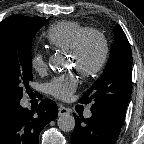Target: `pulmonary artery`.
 Masks as SVG:
<instances>
[{
	"instance_id": "e3ab8cb5",
	"label": "pulmonary artery",
	"mask_w": 144,
	"mask_h": 144,
	"mask_svg": "<svg viewBox=\"0 0 144 144\" xmlns=\"http://www.w3.org/2000/svg\"><path fill=\"white\" fill-rule=\"evenodd\" d=\"M92 116V112L91 111H87L86 113H85V117L86 118H90Z\"/></svg>"
}]
</instances>
